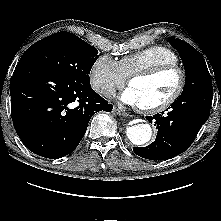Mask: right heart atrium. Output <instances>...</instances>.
Masks as SVG:
<instances>
[{
  "mask_svg": "<svg viewBox=\"0 0 221 221\" xmlns=\"http://www.w3.org/2000/svg\"><path fill=\"white\" fill-rule=\"evenodd\" d=\"M126 80L118 61L108 55L98 56L89 71L91 87L101 94H109L115 88L122 87Z\"/></svg>",
  "mask_w": 221,
  "mask_h": 221,
  "instance_id": "1",
  "label": "right heart atrium"
}]
</instances>
